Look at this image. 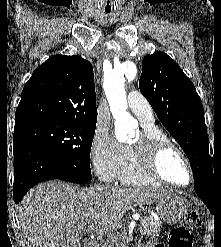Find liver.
<instances>
[{
    "label": "liver",
    "instance_id": "liver-1",
    "mask_svg": "<svg viewBox=\"0 0 221 247\" xmlns=\"http://www.w3.org/2000/svg\"><path fill=\"white\" fill-rule=\"evenodd\" d=\"M171 195L157 189H82L63 181H49L24 196L18 207L19 224L33 247H78L86 234L110 233L133 207L151 205Z\"/></svg>",
    "mask_w": 221,
    "mask_h": 247
}]
</instances>
